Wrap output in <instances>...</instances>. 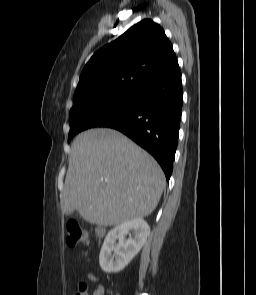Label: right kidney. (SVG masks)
<instances>
[{"mask_svg": "<svg viewBox=\"0 0 256 295\" xmlns=\"http://www.w3.org/2000/svg\"><path fill=\"white\" fill-rule=\"evenodd\" d=\"M149 234L150 227L141 218L123 222L110 230L99 255L101 269L106 273L123 270L140 251ZM116 239H119V243L114 246Z\"/></svg>", "mask_w": 256, "mask_h": 295, "instance_id": "obj_1", "label": "right kidney"}]
</instances>
